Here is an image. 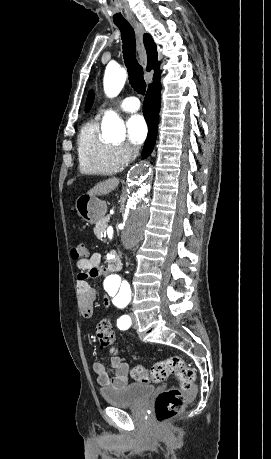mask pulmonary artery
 <instances>
[{"label":"pulmonary artery","mask_w":271,"mask_h":459,"mask_svg":"<svg viewBox=\"0 0 271 459\" xmlns=\"http://www.w3.org/2000/svg\"><path fill=\"white\" fill-rule=\"evenodd\" d=\"M120 109L124 112H136L140 109V102L137 100L136 97H128L122 98L120 103ZM104 113V110H101L98 113V117H100Z\"/></svg>","instance_id":"pulmonary-artery-1"}]
</instances>
